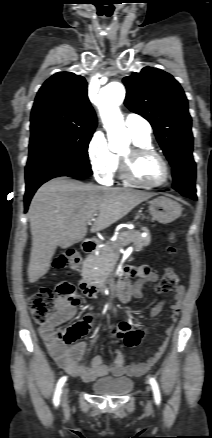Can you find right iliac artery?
<instances>
[{
  "label": "right iliac artery",
  "mask_w": 212,
  "mask_h": 438,
  "mask_svg": "<svg viewBox=\"0 0 212 438\" xmlns=\"http://www.w3.org/2000/svg\"><path fill=\"white\" fill-rule=\"evenodd\" d=\"M66 380H67V377L63 376L60 378V380L57 383L56 390H55L54 397H53V403L55 406L59 405L61 389H62L64 383L66 382Z\"/></svg>",
  "instance_id": "right-iliac-artery-1"
}]
</instances>
